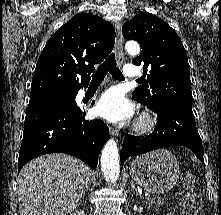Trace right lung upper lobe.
Returning a JSON list of instances; mask_svg holds the SVG:
<instances>
[{"label":"right lung upper lobe","mask_w":221,"mask_h":215,"mask_svg":"<svg viewBox=\"0 0 221 215\" xmlns=\"http://www.w3.org/2000/svg\"><path fill=\"white\" fill-rule=\"evenodd\" d=\"M114 42L115 30L103 18L87 13L72 17L45 45L32 79L30 101L74 94L86 87L94 65L108 56Z\"/></svg>","instance_id":"right-lung-upper-lobe-1"}]
</instances>
